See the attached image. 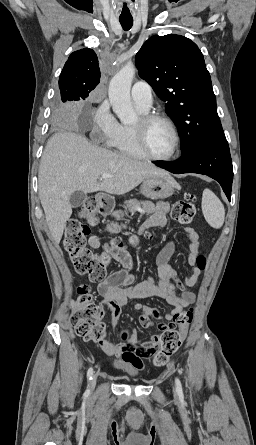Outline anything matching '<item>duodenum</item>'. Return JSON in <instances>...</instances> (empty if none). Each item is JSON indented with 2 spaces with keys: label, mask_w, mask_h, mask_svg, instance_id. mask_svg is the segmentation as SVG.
<instances>
[{
  "label": "duodenum",
  "mask_w": 256,
  "mask_h": 445,
  "mask_svg": "<svg viewBox=\"0 0 256 445\" xmlns=\"http://www.w3.org/2000/svg\"><path fill=\"white\" fill-rule=\"evenodd\" d=\"M95 200H96V206H97L98 212L102 216L109 215L113 208L112 201L108 197L103 196V195H97L95 197Z\"/></svg>",
  "instance_id": "obj_1"
}]
</instances>
